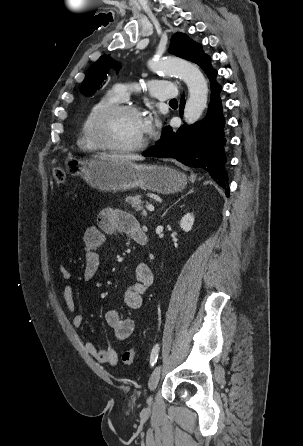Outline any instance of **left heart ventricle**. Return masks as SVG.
<instances>
[{
	"label": "left heart ventricle",
	"mask_w": 303,
	"mask_h": 446,
	"mask_svg": "<svg viewBox=\"0 0 303 446\" xmlns=\"http://www.w3.org/2000/svg\"><path fill=\"white\" fill-rule=\"evenodd\" d=\"M141 115L122 113L110 119L107 127L108 139L118 146H130L145 139Z\"/></svg>",
	"instance_id": "1"
}]
</instances>
